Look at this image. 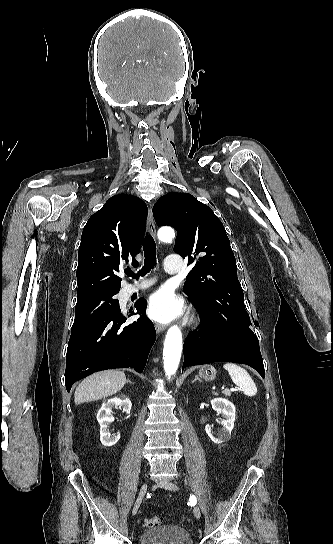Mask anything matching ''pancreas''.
<instances>
[{
    "label": "pancreas",
    "mask_w": 333,
    "mask_h": 544,
    "mask_svg": "<svg viewBox=\"0 0 333 544\" xmlns=\"http://www.w3.org/2000/svg\"><path fill=\"white\" fill-rule=\"evenodd\" d=\"M225 396L229 397L231 395V392L230 391H224L223 392Z\"/></svg>",
    "instance_id": "cf45deb5"
}]
</instances>
